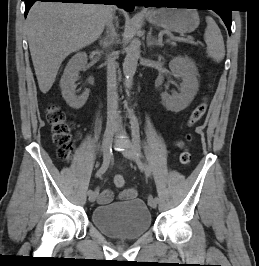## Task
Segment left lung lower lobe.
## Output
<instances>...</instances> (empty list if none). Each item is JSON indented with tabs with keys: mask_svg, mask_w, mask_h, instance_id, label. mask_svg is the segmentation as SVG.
Segmentation results:
<instances>
[{
	"mask_svg": "<svg viewBox=\"0 0 259 266\" xmlns=\"http://www.w3.org/2000/svg\"><path fill=\"white\" fill-rule=\"evenodd\" d=\"M185 4H192V0H143L142 5L146 7H161V5H165L166 7H169V6H174V5H185ZM213 10L216 11L220 15L230 35L231 34V22H232L231 11L229 9H213Z\"/></svg>",
	"mask_w": 259,
	"mask_h": 266,
	"instance_id": "0a47b994",
	"label": "left lung lower lobe"
}]
</instances>
